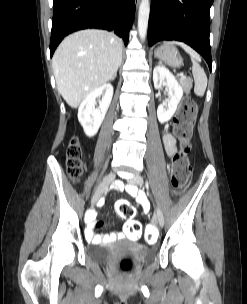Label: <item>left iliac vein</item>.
Instances as JSON below:
<instances>
[{"label":"left iliac vein","instance_id":"1","mask_svg":"<svg viewBox=\"0 0 247 304\" xmlns=\"http://www.w3.org/2000/svg\"><path fill=\"white\" fill-rule=\"evenodd\" d=\"M128 182L132 185H142L143 178L140 175H135L134 177L130 178ZM154 220L162 227L164 225V216L162 210L157 207L154 214Z\"/></svg>","mask_w":247,"mask_h":304}]
</instances>
